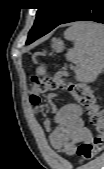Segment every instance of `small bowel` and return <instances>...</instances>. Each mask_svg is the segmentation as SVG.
Masks as SVG:
<instances>
[{"mask_svg": "<svg viewBox=\"0 0 104 169\" xmlns=\"http://www.w3.org/2000/svg\"><path fill=\"white\" fill-rule=\"evenodd\" d=\"M82 115V108L73 103L63 106L57 112V127L50 135L51 144L55 149L73 155L77 144L90 142L92 133L86 127Z\"/></svg>", "mask_w": 104, "mask_h": 169, "instance_id": "small-bowel-1", "label": "small bowel"}]
</instances>
